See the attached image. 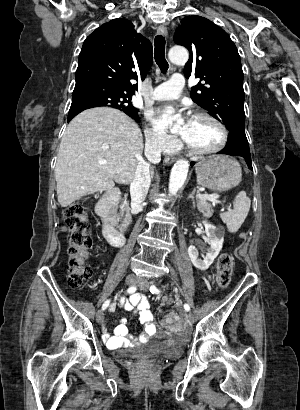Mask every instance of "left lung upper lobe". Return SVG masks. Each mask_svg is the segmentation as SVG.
I'll return each instance as SVG.
<instances>
[{
    "instance_id": "1",
    "label": "left lung upper lobe",
    "mask_w": 300,
    "mask_h": 410,
    "mask_svg": "<svg viewBox=\"0 0 300 410\" xmlns=\"http://www.w3.org/2000/svg\"><path fill=\"white\" fill-rule=\"evenodd\" d=\"M174 41L190 52L185 77L203 81L192 87V100L229 131L245 133L243 71L230 36L210 20L192 15L181 21Z\"/></svg>"
}]
</instances>
